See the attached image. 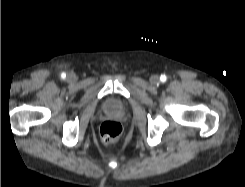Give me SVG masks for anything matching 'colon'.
Instances as JSON below:
<instances>
[{
	"label": "colon",
	"instance_id": "obj_1",
	"mask_svg": "<svg viewBox=\"0 0 245 187\" xmlns=\"http://www.w3.org/2000/svg\"><path fill=\"white\" fill-rule=\"evenodd\" d=\"M122 126L119 122L108 120L100 126V136L104 142H113L120 137Z\"/></svg>",
	"mask_w": 245,
	"mask_h": 187
}]
</instances>
